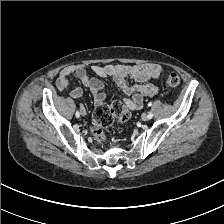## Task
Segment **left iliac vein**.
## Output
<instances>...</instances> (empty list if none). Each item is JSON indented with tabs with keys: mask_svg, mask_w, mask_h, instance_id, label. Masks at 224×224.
<instances>
[{
	"mask_svg": "<svg viewBox=\"0 0 224 224\" xmlns=\"http://www.w3.org/2000/svg\"><path fill=\"white\" fill-rule=\"evenodd\" d=\"M148 119H149L148 114L143 113V114H142V120H143V121H147Z\"/></svg>",
	"mask_w": 224,
	"mask_h": 224,
	"instance_id": "4c4485c4",
	"label": "left iliac vein"
}]
</instances>
